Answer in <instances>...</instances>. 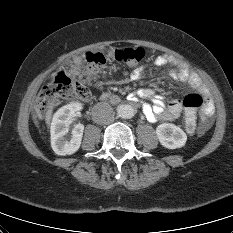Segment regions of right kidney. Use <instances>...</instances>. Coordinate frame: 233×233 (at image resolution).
Wrapping results in <instances>:
<instances>
[{
  "label": "right kidney",
  "mask_w": 233,
  "mask_h": 233,
  "mask_svg": "<svg viewBox=\"0 0 233 233\" xmlns=\"http://www.w3.org/2000/svg\"><path fill=\"white\" fill-rule=\"evenodd\" d=\"M81 108L79 103H71L63 106L54 114L51 123V147L57 155H71L80 148L84 131L83 124L75 125L70 137L66 135L70 120Z\"/></svg>",
  "instance_id": "ca27d5eb"
}]
</instances>
